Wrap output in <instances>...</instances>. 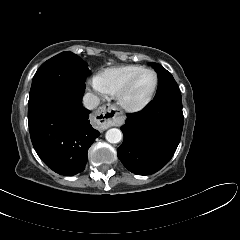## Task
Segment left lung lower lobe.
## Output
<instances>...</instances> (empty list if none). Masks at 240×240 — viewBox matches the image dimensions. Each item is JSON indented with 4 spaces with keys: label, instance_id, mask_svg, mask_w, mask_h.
Returning a JSON list of instances; mask_svg holds the SVG:
<instances>
[{
    "label": "left lung lower lobe",
    "instance_id": "0a47b994",
    "mask_svg": "<svg viewBox=\"0 0 240 240\" xmlns=\"http://www.w3.org/2000/svg\"><path fill=\"white\" fill-rule=\"evenodd\" d=\"M183 121L181 97L153 99L142 111L128 113L121 127L124 141L117 150L118 158L138 175L159 171L177 149Z\"/></svg>",
    "mask_w": 240,
    "mask_h": 240
}]
</instances>
